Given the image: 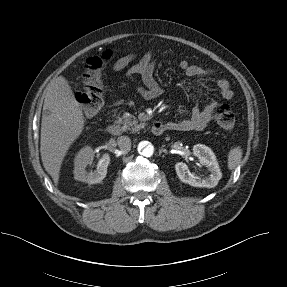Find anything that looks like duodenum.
I'll return each instance as SVG.
<instances>
[{"instance_id":"obj_1","label":"duodenum","mask_w":287,"mask_h":287,"mask_svg":"<svg viewBox=\"0 0 287 287\" xmlns=\"http://www.w3.org/2000/svg\"><path fill=\"white\" fill-rule=\"evenodd\" d=\"M107 131L115 136L121 135L123 133V130L121 128L120 125L116 124V123H110L107 126ZM165 131V126L164 124H162L159 121H156L153 123L152 125V133L156 136H159L161 134H163V132Z\"/></svg>"}]
</instances>
